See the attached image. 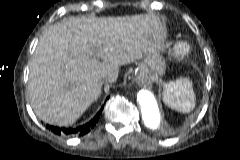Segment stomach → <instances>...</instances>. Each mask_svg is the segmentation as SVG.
<instances>
[{
  "label": "stomach",
  "mask_w": 240,
  "mask_h": 160,
  "mask_svg": "<svg viewBox=\"0 0 240 160\" xmlns=\"http://www.w3.org/2000/svg\"><path fill=\"white\" fill-rule=\"evenodd\" d=\"M165 68V60L156 53L146 55L142 63V71L152 79L160 78L165 73Z\"/></svg>",
  "instance_id": "stomach-1"
}]
</instances>
